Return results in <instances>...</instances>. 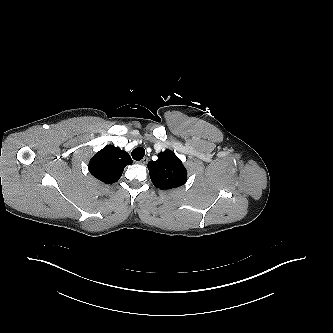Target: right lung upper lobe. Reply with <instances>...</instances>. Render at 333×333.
Returning <instances> with one entry per match:
<instances>
[{
	"label": "right lung upper lobe",
	"instance_id": "right-lung-upper-lobe-1",
	"mask_svg": "<svg viewBox=\"0 0 333 333\" xmlns=\"http://www.w3.org/2000/svg\"><path fill=\"white\" fill-rule=\"evenodd\" d=\"M130 155L119 147L107 145L89 162L90 173L105 184L117 182L125 166L132 164Z\"/></svg>",
	"mask_w": 333,
	"mask_h": 333
}]
</instances>
